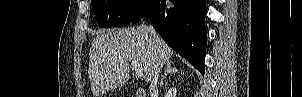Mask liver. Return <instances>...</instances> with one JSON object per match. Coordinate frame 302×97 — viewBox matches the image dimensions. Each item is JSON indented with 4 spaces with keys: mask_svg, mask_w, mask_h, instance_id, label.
I'll return each instance as SVG.
<instances>
[{
    "mask_svg": "<svg viewBox=\"0 0 302 97\" xmlns=\"http://www.w3.org/2000/svg\"><path fill=\"white\" fill-rule=\"evenodd\" d=\"M173 49L159 37L156 44L146 26L102 30L91 44L88 76L95 97L123 86L129 79L130 62L137 61L144 70L146 82H151L154 67L160 57L170 63Z\"/></svg>",
    "mask_w": 302,
    "mask_h": 97,
    "instance_id": "liver-1",
    "label": "liver"
}]
</instances>
